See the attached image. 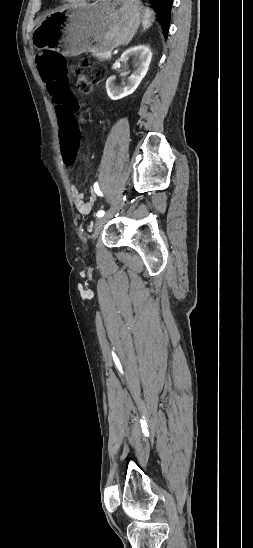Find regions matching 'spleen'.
Wrapping results in <instances>:
<instances>
[{
    "instance_id": "spleen-1",
    "label": "spleen",
    "mask_w": 253,
    "mask_h": 548,
    "mask_svg": "<svg viewBox=\"0 0 253 548\" xmlns=\"http://www.w3.org/2000/svg\"><path fill=\"white\" fill-rule=\"evenodd\" d=\"M154 18H155L154 11H152L149 8H145L144 18H143V21H142V25H143L144 30L148 29L152 25V22L154 21Z\"/></svg>"
}]
</instances>
